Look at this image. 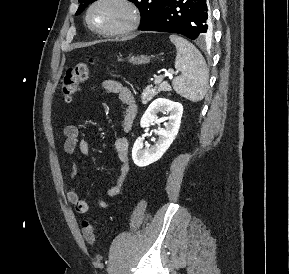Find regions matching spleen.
<instances>
[{"mask_svg": "<svg viewBox=\"0 0 289 274\" xmlns=\"http://www.w3.org/2000/svg\"><path fill=\"white\" fill-rule=\"evenodd\" d=\"M169 38L177 50L175 69L181 73L173 80V89L190 101L202 100L207 91L209 73L202 54L183 37L170 35Z\"/></svg>", "mask_w": 289, "mask_h": 274, "instance_id": "1", "label": "spleen"}]
</instances>
